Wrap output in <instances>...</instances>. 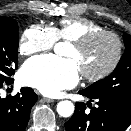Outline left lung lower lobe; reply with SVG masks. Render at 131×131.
<instances>
[{"instance_id":"1","label":"left lung lower lobe","mask_w":131,"mask_h":131,"mask_svg":"<svg viewBox=\"0 0 131 131\" xmlns=\"http://www.w3.org/2000/svg\"><path fill=\"white\" fill-rule=\"evenodd\" d=\"M79 94L97 101L96 107H91L86 113V105L76 102L73 116L65 123L66 131H125L131 124V106L125 103L88 95L84 90Z\"/></svg>"}]
</instances>
